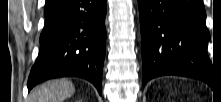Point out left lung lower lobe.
Segmentation results:
<instances>
[{"label": "left lung lower lobe", "mask_w": 221, "mask_h": 102, "mask_svg": "<svg viewBox=\"0 0 221 102\" xmlns=\"http://www.w3.org/2000/svg\"><path fill=\"white\" fill-rule=\"evenodd\" d=\"M143 86L162 75L212 83L210 34L202 0H138Z\"/></svg>", "instance_id": "1"}]
</instances>
